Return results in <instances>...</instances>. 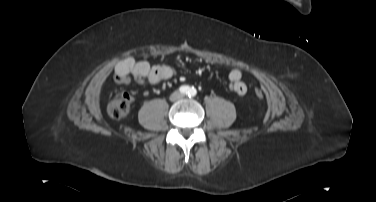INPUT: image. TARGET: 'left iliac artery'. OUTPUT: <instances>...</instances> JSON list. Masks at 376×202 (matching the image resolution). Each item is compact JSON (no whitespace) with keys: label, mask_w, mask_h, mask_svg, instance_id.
<instances>
[{"label":"left iliac artery","mask_w":376,"mask_h":202,"mask_svg":"<svg viewBox=\"0 0 376 202\" xmlns=\"http://www.w3.org/2000/svg\"><path fill=\"white\" fill-rule=\"evenodd\" d=\"M196 93H197L196 89L192 87V88L190 89L188 95H189L190 97H193V96L196 95Z\"/></svg>","instance_id":"obj_1"}]
</instances>
